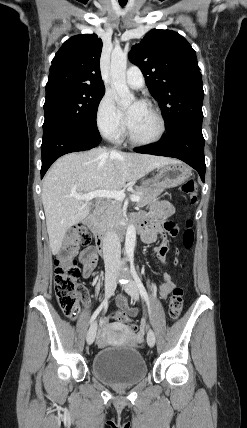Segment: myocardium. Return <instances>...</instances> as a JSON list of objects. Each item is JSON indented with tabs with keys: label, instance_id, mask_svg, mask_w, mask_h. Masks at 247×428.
<instances>
[{
	"label": "myocardium",
	"instance_id": "1",
	"mask_svg": "<svg viewBox=\"0 0 247 428\" xmlns=\"http://www.w3.org/2000/svg\"><path fill=\"white\" fill-rule=\"evenodd\" d=\"M142 105H144L148 109H150L154 113V115L156 116L158 123H159L158 132L154 137H152L150 139H139L132 134L129 126L127 125V129H126L127 136L129 138V140L135 145L145 146V145L156 144L159 141H161L166 134L167 125H166L165 117L162 114L161 110L157 106H155L154 104H152L148 101H145L142 103Z\"/></svg>",
	"mask_w": 247,
	"mask_h": 428
}]
</instances>
